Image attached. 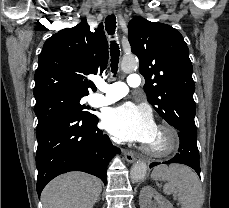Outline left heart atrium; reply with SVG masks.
<instances>
[{
  "instance_id": "obj_1",
  "label": "left heart atrium",
  "mask_w": 229,
  "mask_h": 208,
  "mask_svg": "<svg viewBox=\"0 0 229 208\" xmlns=\"http://www.w3.org/2000/svg\"><path fill=\"white\" fill-rule=\"evenodd\" d=\"M102 125L121 140L141 143H146L156 130L151 111L132 102L109 108L103 116Z\"/></svg>"
}]
</instances>
